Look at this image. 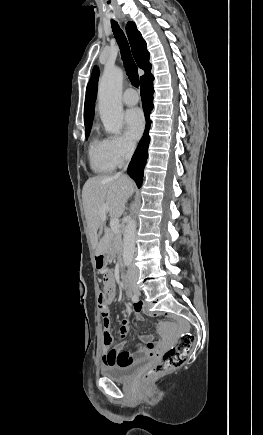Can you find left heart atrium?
Masks as SVG:
<instances>
[{
    "mask_svg": "<svg viewBox=\"0 0 263 435\" xmlns=\"http://www.w3.org/2000/svg\"><path fill=\"white\" fill-rule=\"evenodd\" d=\"M125 129L128 138L135 142L137 141L144 130L145 120L143 113L138 108H133L125 113Z\"/></svg>",
    "mask_w": 263,
    "mask_h": 435,
    "instance_id": "obj_1",
    "label": "left heart atrium"
}]
</instances>
